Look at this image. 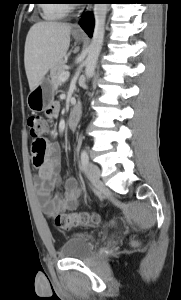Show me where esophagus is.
<instances>
[{
	"label": "esophagus",
	"instance_id": "34e87169",
	"mask_svg": "<svg viewBox=\"0 0 181 300\" xmlns=\"http://www.w3.org/2000/svg\"><path fill=\"white\" fill-rule=\"evenodd\" d=\"M91 8V5H87V6H84L82 9H80L78 11V14H77V22L74 24L73 26V32L74 33H79V34H84V31L83 29L81 28L80 24H79V20L81 18V15L83 14V12H87L89 11Z\"/></svg>",
	"mask_w": 181,
	"mask_h": 300
}]
</instances>
